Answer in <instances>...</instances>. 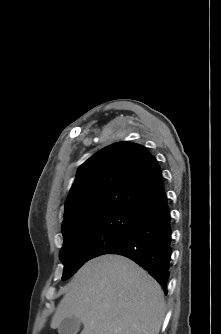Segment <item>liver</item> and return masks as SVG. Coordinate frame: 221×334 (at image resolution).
Returning a JSON list of instances; mask_svg holds the SVG:
<instances>
[{"label": "liver", "instance_id": "obj_1", "mask_svg": "<svg viewBox=\"0 0 221 334\" xmlns=\"http://www.w3.org/2000/svg\"><path fill=\"white\" fill-rule=\"evenodd\" d=\"M165 309L156 280L134 261L106 254L78 270L50 326L74 316L83 323L81 334H159Z\"/></svg>", "mask_w": 221, "mask_h": 334}]
</instances>
